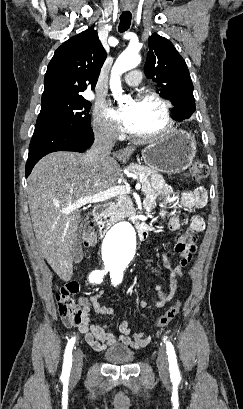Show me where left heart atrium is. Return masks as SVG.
<instances>
[{"label": "left heart atrium", "instance_id": "left-heart-atrium-1", "mask_svg": "<svg viewBox=\"0 0 243 409\" xmlns=\"http://www.w3.org/2000/svg\"><path fill=\"white\" fill-rule=\"evenodd\" d=\"M111 116L127 131L131 129L132 115L129 111L117 112L112 111Z\"/></svg>", "mask_w": 243, "mask_h": 409}]
</instances>
